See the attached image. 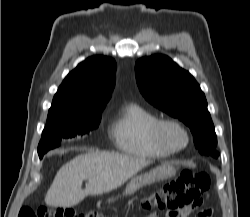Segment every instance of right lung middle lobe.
Listing matches in <instances>:
<instances>
[{
	"label": "right lung middle lobe",
	"instance_id": "dd1d6c3e",
	"mask_svg": "<svg viewBox=\"0 0 250 217\" xmlns=\"http://www.w3.org/2000/svg\"><path fill=\"white\" fill-rule=\"evenodd\" d=\"M101 111L47 119L38 145L39 157L42 158L48 150L60 146V141L64 138L88 134L96 129L101 120Z\"/></svg>",
	"mask_w": 250,
	"mask_h": 217
}]
</instances>
